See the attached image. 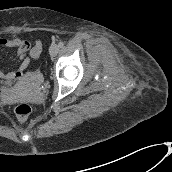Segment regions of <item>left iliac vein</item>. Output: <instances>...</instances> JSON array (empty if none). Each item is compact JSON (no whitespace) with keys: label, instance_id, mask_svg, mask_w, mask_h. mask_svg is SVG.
Here are the masks:
<instances>
[{"label":"left iliac vein","instance_id":"1","mask_svg":"<svg viewBox=\"0 0 172 172\" xmlns=\"http://www.w3.org/2000/svg\"><path fill=\"white\" fill-rule=\"evenodd\" d=\"M59 51V46L57 44H52L49 48V53L51 56L57 55Z\"/></svg>","mask_w":172,"mask_h":172}]
</instances>
